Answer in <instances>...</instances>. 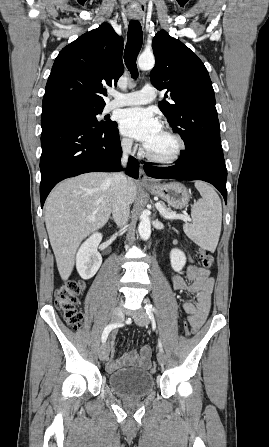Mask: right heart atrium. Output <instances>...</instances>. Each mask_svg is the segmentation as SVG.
Listing matches in <instances>:
<instances>
[{
	"label": "right heart atrium",
	"mask_w": 269,
	"mask_h": 447,
	"mask_svg": "<svg viewBox=\"0 0 269 447\" xmlns=\"http://www.w3.org/2000/svg\"><path fill=\"white\" fill-rule=\"evenodd\" d=\"M121 146L123 147V149L130 151L133 147V143L129 138H122L121 139Z\"/></svg>",
	"instance_id": "right-heart-atrium-1"
}]
</instances>
